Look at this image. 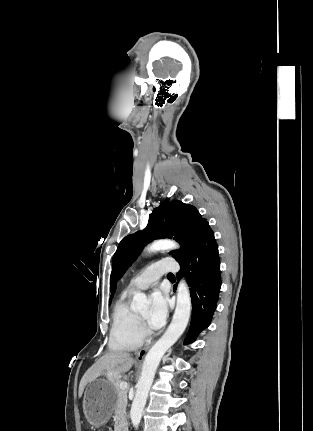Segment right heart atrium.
<instances>
[{
	"instance_id": "1",
	"label": "right heart atrium",
	"mask_w": 313,
	"mask_h": 431,
	"mask_svg": "<svg viewBox=\"0 0 313 431\" xmlns=\"http://www.w3.org/2000/svg\"><path fill=\"white\" fill-rule=\"evenodd\" d=\"M141 331L144 332V327L141 326Z\"/></svg>"
}]
</instances>
